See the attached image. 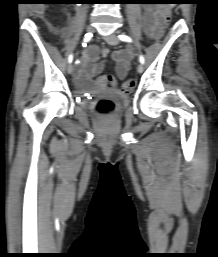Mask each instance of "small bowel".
I'll use <instances>...</instances> for the list:
<instances>
[{
    "mask_svg": "<svg viewBox=\"0 0 218 257\" xmlns=\"http://www.w3.org/2000/svg\"><path fill=\"white\" fill-rule=\"evenodd\" d=\"M164 15L166 11L157 7H145L143 14V29L150 37L154 38V30L156 29L157 21H165ZM116 61V73L119 79H124L130 68L131 52L120 51L113 55ZM100 51L98 46L91 44L87 46L81 57V62L76 70V80L80 85L88 83L94 89L95 84H90V79H96V74L101 73L104 65L99 63ZM116 85V84H115Z\"/></svg>",
    "mask_w": 218,
    "mask_h": 257,
    "instance_id": "small-bowel-1",
    "label": "small bowel"
}]
</instances>
